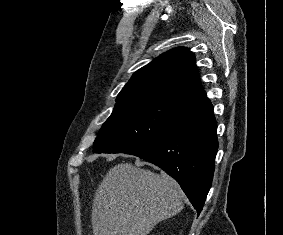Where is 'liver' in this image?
<instances>
[{"label": "liver", "mask_w": 283, "mask_h": 235, "mask_svg": "<svg viewBox=\"0 0 283 235\" xmlns=\"http://www.w3.org/2000/svg\"><path fill=\"white\" fill-rule=\"evenodd\" d=\"M130 163L112 167L95 193L93 235H147L161 221L183 208L179 184Z\"/></svg>", "instance_id": "liver-1"}]
</instances>
